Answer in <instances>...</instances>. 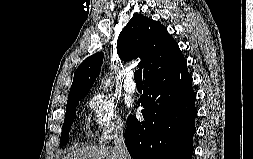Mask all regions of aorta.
Instances as JSON below:
<instances>
[{
	"instance_id": "1",
	"label": "aorta",
	"mask_w": 253,
	"mask_h": 159,
	"mask_svg": "<svg viewBox=\"0 0 253 159\" xmlns=\"http://www.w3.org/2000/svg\"><path fill=\"white\" fill-rule=\"evenodd\" d=\"M110 83H111L110 79L106 80V82L104 83V84H105V88H106L107 86H109Z\"/></svg>"
}]
</instances>
